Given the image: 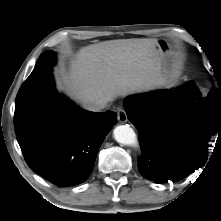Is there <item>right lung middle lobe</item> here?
<instances>
[{
	"instance_id": "right-lung-middle-lobe-1",
	"label": "right lung middle lobe",
	"mask_w": 221,
	"mask_h": 221,
	"mask_svg": "<svg viewBox=\"0 0 221 221\" xmlns=\"http://www.w3.org/2000/svg\"><path fill=\"white\" fill-rule=\"evenodd\" d=\"M55 62V53L46 51L40 55L33 71L50 72ZM40 91L32 90L27 95L16 99L14 124L24 123L33 113L39 102Z\"/></svg>"
}]
</instances>
